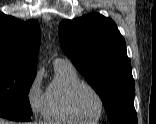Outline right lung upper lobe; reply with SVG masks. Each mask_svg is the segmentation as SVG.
<instances>
[{
    "label": "right lung upper lobe",
    "mask_w": 156,
    "mask_h": 124,
    "mask_svg": "<svg viewBox=\"0 0 156 124\" xmlns=\"http://www.w3.org/2000/svg\"><path fill=\"white\" fill-rule=\"evenodd\" d=\"M40 46L37 21H21L0 13V66L36 71Z\"/></svg>",
    "instance_id": "cb5924a9"
}]
</instances>
